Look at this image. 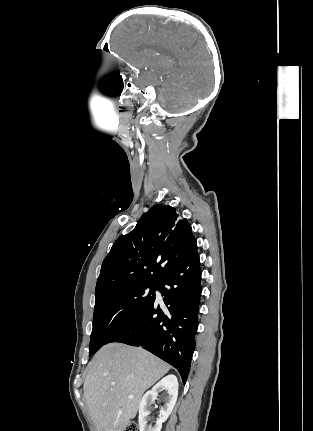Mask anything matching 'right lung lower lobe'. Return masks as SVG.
Listing matches in <instances>:
<instances>
[{
    "mask_svg": "<svg viewBox=\"0 0 313 431\" xmlns=\"http://www.w3.org/2000/svg\"><path fill=\"white\" fill-rule=\"evenodd\" d=\"M194 239L182 259L157 284L163 302L152 298L107 343L141 346L175 367L185 384L195 348L201 270Z\"/></svg>",
    "mask_w": 313,
    "mask_h": 431,
    "instance_id": "right-lung-lower-lobe-1",
    "label": "right lung lower lobe"
}]
</instances>
